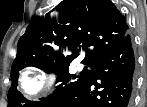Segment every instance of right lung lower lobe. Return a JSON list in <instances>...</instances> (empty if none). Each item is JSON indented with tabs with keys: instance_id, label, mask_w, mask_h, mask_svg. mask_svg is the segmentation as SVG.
Here are the masks:
<instances>
[{
	"instance_id": "98d812e1",
	"label": "right lung lower lobe",
	"mask_w": 147,
	"mask_h": 107,
	"mask_svg": "<svg viewBox=\"0 0 147 107\" xmlns=\"http://www.w3.org/2000/svg\"><path fill=\"white\" fill-rule=\"evenodd\" d=\"M135 77V56L127 32L92 66L87 80L54 107H131Z\"/></svg>"
}]
</instances>
